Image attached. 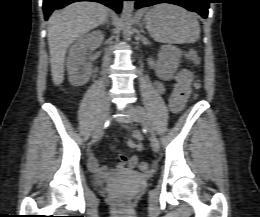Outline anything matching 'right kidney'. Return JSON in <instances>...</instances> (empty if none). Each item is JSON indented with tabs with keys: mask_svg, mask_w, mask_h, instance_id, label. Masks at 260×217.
<instances>
[{
	"mask_svg": "<svg viewBox=\"0 0 260 217\" xmlns=\"http://www.w3.org/2000/svg\"><path fill=\"white\" fill-rule=\"evenodd\" d=\"M101 31H93L79 37L71 47L67 59L69 81L73 86H82L88 82L92 73L91 62L86 61L87 50L103 40Z\"/></svg>",
	"mask_w": 260,
	"mask_h": 217,
	"instance_id": "right-kidney-1",
	"label": "right kidney"
}]
</instances>
